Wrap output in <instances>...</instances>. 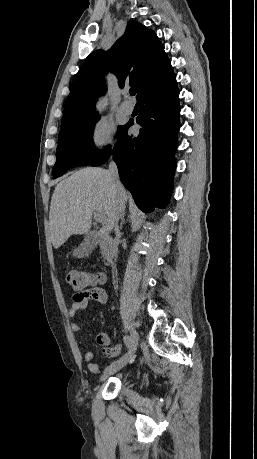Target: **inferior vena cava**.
I'll list each match as a JSON object with an SVG mask.
<instances>
[{
  "label": "inferior vena cava",
  "mask_w": 257,
  "mask_h": 459,
  "mask_svg": "<svg viewBox=\"0 0 257 459\" xmlns=\"http://www.w3.org/2000/svg\"><path fill=\"white\" fill-rule=\"evenodd\" d=\"M108 177L117 195L116 210H115V215H114V226H115L116 237L112 243V260H111L112 264L114 265L113 260L116 261L118 257V244H119V234H120L119 228H118V220L121 215V212L124 209V199H123V195L120 189L121 183L119 180L118 168L113 161L110 162L109 164ZM113 270H115V265L113 267Z\"/></svg>",
  "instance_id": "602c4592"
}]
</instances>
